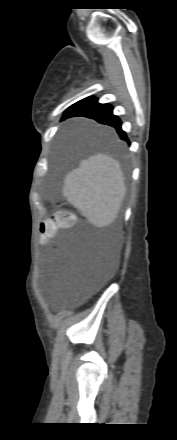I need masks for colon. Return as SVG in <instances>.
<instances>
[{"label": "colon", "instance_id": "1", "mask_svg": "<svg viewBox=\"0 0 177 440\" xmlns=\"http://www.w3.org/2000/svg\"><path fill=\"white\" fill-rule=\"evenodd\" d=\"M75 216L68 210H60L52 218L46 219L41 224V233L44 240L55 236L59 228H67L74 224Z\"/></svg>", "mask_w": 177, "mask_h": 440}]
</instances>
